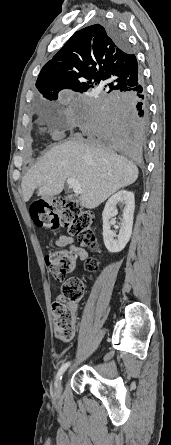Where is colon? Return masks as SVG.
<instances>
[{
    "instance_id": "1",
    "label": "colon",
    "mask_w": 171,
    "mask_h": 445,
    "mask_svg": "<svg viewBox=\"0 0 171 445\" xmlns=\"http://www.w3.org/2000/svg\"><path fill=\"white\" fill-rule=\"evenodd\" d=\"M31 217L36 226L57 231L65 228L73 236H77L82 245L95 249V234L91 229L93 214L79 203L54 199L51 203L36 202L31 206ZM77 256L66 251H49L46 263L51 275L65 282L61 294L53 303L55 337L62 342H69L75 334L74 304L84 292V285L77 277H68L74 270ZM88 271L97 269V262L86 263Z\"/></svg>"
}]
</instances>
